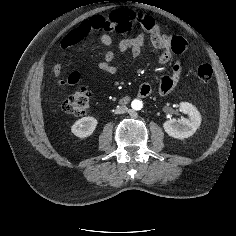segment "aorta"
I'll return each mask as SVG.
<instances>
[{"label": "aorta", "mask_w": 236, "mask_h": 236, "mask_svg": "<svg viewBox=\"0 0 236 236\" xmlns=\"http://www.w3.org/2000/svg\"><path fill=\"white\" fill-rule=\"evenodd\" d=\"M131 107L133 110H141L143 108V102L142 100H139V99H134L132 102H131Z\"/></svg>", "instance_id": "aorta-1"}]
</instances>
